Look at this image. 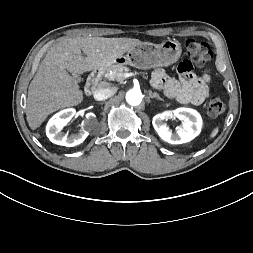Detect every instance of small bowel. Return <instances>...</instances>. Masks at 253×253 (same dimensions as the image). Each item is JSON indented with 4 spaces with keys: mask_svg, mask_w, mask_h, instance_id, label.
Listing matches in <instances>:
<instances>
[{
    "mask_svg": "<svg viewBox=\"0 0 253 253\" xmlns=\"http://www.w3.org/2000/svg\"><path fill=\"white\" fill-rule=\"evenodd\" d=\"M181 75L179 79L169 77L163 69L152 73L151 84L162 90L168 97L183 103L201 105L209 95L208 83L212 72L205 68L201 75H195L198 68L188 58L182 59L176 67Z\"/></svg>",
    "mask_w": 253,
    "mask_h": 253,
    "instance_id": "small-bowel-1",
    "label": "small bowel"
}]
</instances>
